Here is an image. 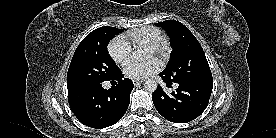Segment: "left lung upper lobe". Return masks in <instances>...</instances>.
Instances as JSON below:
<instances>
[{
	"mask_svg": "<svg viewBox=\"0 0 276 138\" xmlns=\"http://www.w3.org/2000/svg\"><path fill=\"white\" fill-rule=\"evenodd\" d=\"M169 35L173 53L164 71L166 79L174 83L212 82V74L205 53L186 26L175 20L156 23Z\"/></svg>",
	"mask_w": 276,
	"mask_h": 138,
	"instance_id": "1",
	"label": "left lung upper lobe"
}]
</instances>
